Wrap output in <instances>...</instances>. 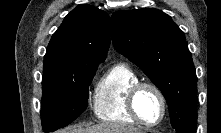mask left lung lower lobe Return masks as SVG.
<instances>
[{
  "mask_svg": "<svg viewBox=\"0 0 221 133\" xmlns=\"http://www.w3.org/2000/svg\"><path fill=\"white\" fill-rule=\"evenodd\" d=\"M177 133H196V128L191 129V130L180 131V132H177Z\"/></svg>",
  "mask_w": 221,
  "mask_h": 133,
  "instance_id": "obj_1",
  "label": "left lung lower lobe"
}]
</instances>
